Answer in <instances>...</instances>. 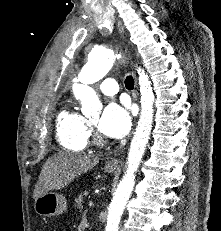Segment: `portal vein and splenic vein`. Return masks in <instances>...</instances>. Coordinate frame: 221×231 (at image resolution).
Returning <instances> with one entry per match:
<instances>
[{
  "label": "portal vein and splenic vein",
  "instance_id": "1",
  "mask_svg": "<svg viewBox=\"0 0 221 231\" xmlns=\"http://www.w3.org/2000/svg\"><path fill=\"white\" fill-rule=\"evenodd\" d=\"M88 204H89V206H92L93 205V201L89 200Z\"/></svg>",
  "mask_w": 221,
  "mask_h": 231
}]
</instances>
